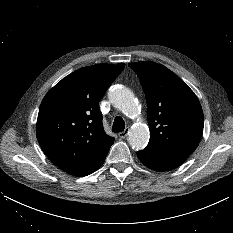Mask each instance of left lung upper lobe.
Here are the masks:
<instances>
[{
  "label": "left lung upper lobe",
  "mask_w": 233,
  "mask_h": 233,
  "mask_svg": "<svg viewBox=\"0 0 233 233\" xmlns=\"http://www.w3.org/2000/svg\"><path fill=\"white\" fill-rule=\"evenodd\" d=\"M138 75L148 105L150 140L147 147L190 155L204 125L194 92L171 70L151 61L129 63Z\"/></svg>",
  "instance_id": "1"
}]
</instances>
